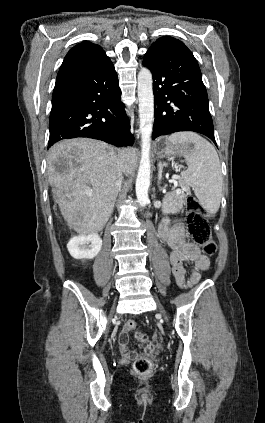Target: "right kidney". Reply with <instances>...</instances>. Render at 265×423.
I'll use <instances>...</instances> for the list:
<instances>
[{
  "label": "right kidney",
  "instance_id": "1",
  "mask_svg": "<svg viewBox=\"0 0 265 423\" xmlns=\"http://www.w3.org/2000/svg\"><path fill=\"white\" fill-rule=\"evenodd\" d=\"M102 239L97 233L73 237L67 244L70 255L75 259H93L100 252Z\"/></svg>",
  "mask_w": 265,
  "mask_h": 423
}]
</instances>
